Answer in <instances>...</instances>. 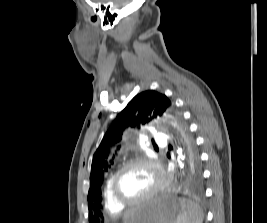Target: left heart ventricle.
Returning a JSON list of instances; mask_svg holds the SVG:
<instances>
[{"label": "left heart ventricle", "instance_id": "1", "mask_svg": "<svg viewBox=\"0 0 267 223\" xmlns=\"http://www.w3.org/2000/svg\"><path fill=\"white\" fill-rule=\"evenodd\" d=\"M156 176L146 165L127 168L117 180V192L125 200H136L147 194L155 185Z\"/></svg>", "mask_w": 267, "mask_h": 223}]
</instances>
